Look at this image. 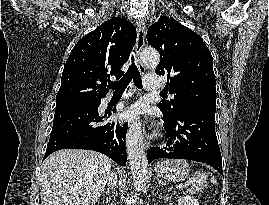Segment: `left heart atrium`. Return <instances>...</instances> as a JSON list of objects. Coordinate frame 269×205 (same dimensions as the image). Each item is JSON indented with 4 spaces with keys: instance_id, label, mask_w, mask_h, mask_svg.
Returning a JSON list of instances; mask_svg holds the SVG:
<instances>
[{
    "instance_id": "39dd6f15",
    "label": "left heart atrium",
    "mask_w": 269,
    "mask_h": 205,
    "mask_svg": "<svg viewBox=\"0 0 269 205\" xmlns=\"http://www.w3.org/2000/svg\"><path fill=\"white\" fill-rule=\"evenodd\" d=\"M144 112V106L140 103H136L128 108L122 115V119L124 120H133L136 119Z\"/></svg>"
}]
</instances>
